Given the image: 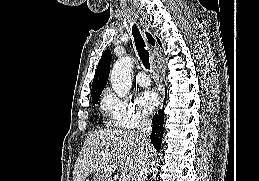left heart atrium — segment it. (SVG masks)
Returning a JSON list of instances; mask_svg holds the SVG:
<instances>
[{"mask_svg":"<svg viewBox=\"0 0 259 181\" xmlns=\"http://www.w3.org/2000/svg\"><path fill=\"white\" fill-rule=\"evenodd\" d=\"M137 103L145 112H152L159 103V97L156 91L146 89L137 96Z\"/></svg>","mask_w":259,"mask_h":181,"instance_id":"obj_1","label":"left heart atrium"}]
</instances>
